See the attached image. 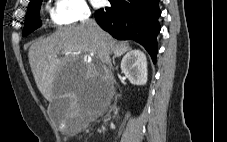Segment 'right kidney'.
Wrapping results in <instances>:
<instances>
[{
    "label": "right kidney",
    "instance_id": "right-kidney-1",
    "mask_svg": "<svg viewBox=\"0 0 227 142\" xmlns=\"http://www.w3.org/2000/svg\"><path fill=\"white\" fill-rule=\"evenodd\" d=\"M121 71L134 85H144L147 82V60L140 50L129 51L121 61Z\"/></svg>",
    "mask_w": 227,
    "mask_h": 142
}]
</instances>
